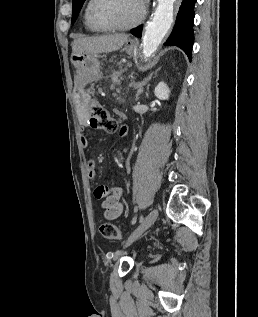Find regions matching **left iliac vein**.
I'll list each match as a JSON object with an SVG mask.
<instances>
[{
	"label": "left iliac vein",
	"instance_id": "4c4485c4",
	"mask_svg": "<svg viewBox=\"0 0 258 317\" xmlns=\"http://www.w3.org/2000/svg\"><path fill=\"white\" fill-rule=\"evenodd\" d=\"M157 210L158 209L156 208L150 211L146 218L133 230V232H131L129 239L127 240L128 242L130 240H138V236H142L143 232H146L147 228H150L151 224L155 223V219L158 218ZM128 244L130 245L131 243L129 242ZM125 246L127 247L128 245L126 244ZM123 250L125 251L126 249L124 248Z\"/></svg>",
	"mask_w": 258,
	"mask_h": 317
}]
</instances>
